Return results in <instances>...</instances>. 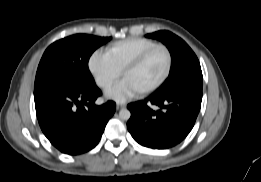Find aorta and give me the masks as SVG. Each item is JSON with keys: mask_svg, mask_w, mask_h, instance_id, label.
Returning a JSON list of instances; mask_svg holds the SVG:
<instances>
[{"mask_svg": "<svg viewBox=\"0 0 261 182\" xmlns=\"http://www.w3.org/2000/svg\"><path fill=\"white\" fill-rule=\"evenodd\" d=\"M131 117V113L128 109L124 108L119 111V118L122 120H129Z\"/></svg>", "mask_w": 261, "mask_h": 182, "instance_id": "762f6f07", "label": "aorta"}]
</instances>
